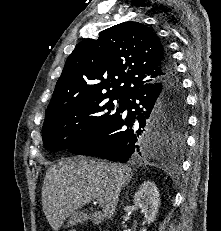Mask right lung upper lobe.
I'll return each mask as SVG.
<instances>
[{
	"label": "right lung upper lobe",
	"instance_id": "cb5924a9",
	"mask_svg": "<svg viewBox=\"0 0 221 231\" xmlns=\"http://www.w3.org/2000/svg\"><path fill=\"white\" fill-rule=\"evenodd\" d=\"M164 53L155 33L132 21L101 31L98 39L83 40L65 63L45 118L74 99L103 95L124 99L160 82Z\"/></svg>",
	"mask_w": 221,
	"mask_h": 231
}]
</instances>
